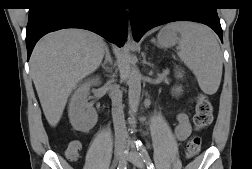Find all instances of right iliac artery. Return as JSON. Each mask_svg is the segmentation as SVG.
Segmentation results:
<instances>
[{
    "mask_svg": "<svg viewBox=\"0 0 252 169\" xmlns=\"http://www.w3.org/2000/svg\"><path fill=\"white\" fill-rule=\"evenodd\" d=\"M126 153V152H125ZM126 155H124L121 159V161L119 162V165L117 167V169H126V165H127V160L125 158Z\"/></svg>",
    "mask_w": 252,
    "mask_h": 169,
    "instance_id": "82829eb1",
    "label": "right iliac artery"
}]
</instances>
